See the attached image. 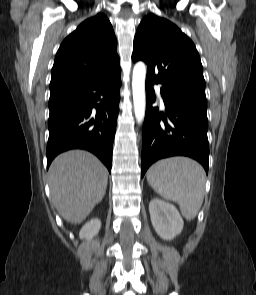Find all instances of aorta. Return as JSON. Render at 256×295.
Returning a JSON list of instances; mask_svg holds the SVG:
<instances>
[{
  "instance_id": "1",
  "label": "aorta",
  "mask_w": 256,
  "mask_h": 295,
  "mask_svg": "<svg viewBox=\"0 0 256 295\" xmlns=\"http://www.w3.org/2000/svg\"><path fill=\"white\" fill-rule=\"evenodd\" d=\"M145 77V64L143 62L136 63L133 69L132 92L135 118L139 125L143 123L145 117Z\"/></svg>"
}]
</instances>
